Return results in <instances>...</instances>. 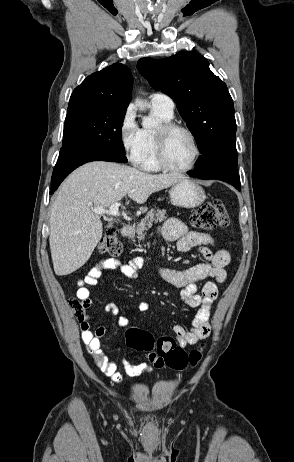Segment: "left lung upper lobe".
<instances>
[{
    "mask_svg": "<svg viewBox=\"0 0 294 462\" xmlns=\"http://www.w3.org/2000/svg\"><path fill=\"white\" fill-rule=\"evenodd\" d=\"M137 69L155 90L173 98L202 155L236 146L232 98L206 58L193 51L160 60L142 58Z\"/></svg>",
    "mask_w": 294,
    "mask_h": 462,
    "instance_id": "1",
    "label": "left lung upper lobe"
}]
</instances>
